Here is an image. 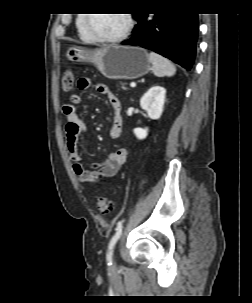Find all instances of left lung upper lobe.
<instances>
[{
  "label": "left lung upper lobe",
  "instance_id": "1",
  "mask_svg": "<svg viewBox=\"0 0 252 303\" xmlns=\"http://www.w3.org/2000/svg\"><path fill=\"white\" fill-rule=\"evenodd\" d=\"M138 15H139V14H134L133 17L137 18Z\"/></svg>",
  "mask_w": 252,
  "mask_h": 303
}]
</instances>
